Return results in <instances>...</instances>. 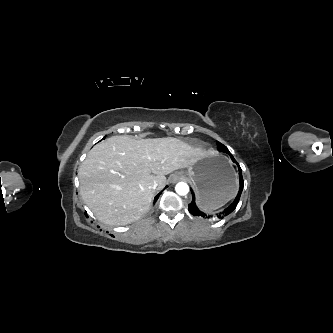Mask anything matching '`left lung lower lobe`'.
Instances as JSON below:
<instances>
[{
	"label": "left lung lower lobe",
	"mask_w": 333,
	"mask_h": 333,
	"mask_svg": "<svg viewBox=\"0 0 333 333\" xmlns=\"http://www.w3.org/2000/svg\"><path fill=\"white\" fill-rule=\"evenodd\" d=\"M232 161L235 162L238 165V163L236 162L235 159H232ZM238 169H239L240 189L238 191V194H237L235 200L233 201V203L229 207H227L223 211L217 212L215 214L204 213V212L200 211L198 209V207L196 206L195 196H194L193 191L191 190L193 198H192L191 203L188 205L189 212L194 216H200V217H203V218L208 219V220H210V219L214 220V219H223L225 216L229 215L232 211H234L238 202H239V200H240V196H241L243 186H244V181H243V178H242V170H241L239 165H238Z\"/></svg>",
	"instance_id": "1"
}]
</instances>
